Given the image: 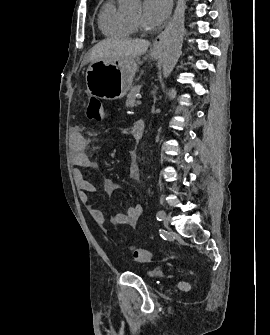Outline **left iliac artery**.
<instances>
[{"instance_id": "left-iliac-artery-1", "label": "left iliac artery", "mask_w": 270, "mask_h": 335, "mask_svg": "<svg viewBox=\"0 0 270 335\" xmlns=\"http://www.w3.org/2000/svg\"><path fill=\"white\" fill-rule=\"evenodd\" d=\"M164 216H165V212L163 210L158 211L156 214V218L158 221H161L164 218Z\"/></svg>"}]
</instances>
